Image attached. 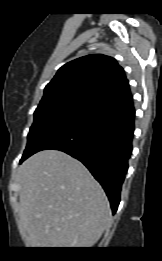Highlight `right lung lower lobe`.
Segmentation results:
<instances>
[{
	"label": "right lung lower lobe",
	"mask_w": 162,
	"mask_h": 261,
	"mask_svg": "<svg viewBox=\"0 0 162 261\" xmlns=\"http://www.w3.org/2000/svg\"><path fill=\"white\" fill-rule=\"evenodd\" d=\"M135 109L126 95L84 113L44 138L34 151L56 149L80 160L104 188L112 212L119 202L121 187L132 154Z\"/></svg>",
	"instance_id": "obj_1"
}]
</instances>
